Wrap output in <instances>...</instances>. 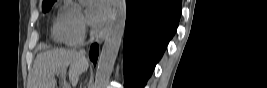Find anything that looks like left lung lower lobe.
<instances>
[{
	"instance_id": "obj_1",
	"label": "left lung lower lobe",
	"mask_w": 267,
	"mask_h": 88,
	"mask_svg": "<svg viewBox=\"0 0 267 88\" xmlns=\"http://www.w3.org/2000/svg\"><path fill=\"white\" fill-rule=\"evenodd\" d=\"M181 0H127L125 88H143L176 32Z\"/></svg>"
}]
</instances>
